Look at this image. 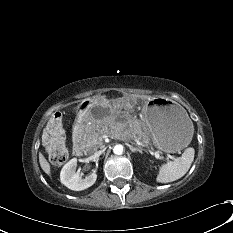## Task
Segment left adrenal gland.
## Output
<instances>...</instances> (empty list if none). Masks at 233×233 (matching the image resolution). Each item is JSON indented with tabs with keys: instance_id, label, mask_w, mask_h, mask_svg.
Returning a JSON list of instances; mask_svg holds the SVG:
<instances>
[{
	"instance_id": "obj_1",
	"label": "left adrenal gland",
	"mask_w": 233,
	"mask_h": 233,
	"mask_svg": "<svg viewBox=\"0 0 233 233\" xmlns=\"http://www.w3.org/2000/svg\"><path fill=\"white\" fill-rule=\"evenodd\" d=\"M129 148L133 153L135 152H139L141 154L143 153V149L139 146L133 147L132 145H129Z\"/></svg>"
}]
</instances>
